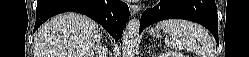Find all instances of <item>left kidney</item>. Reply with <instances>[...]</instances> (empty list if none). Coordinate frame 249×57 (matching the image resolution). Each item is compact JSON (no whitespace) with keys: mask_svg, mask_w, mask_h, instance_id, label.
I'll use <instances>...</instances> for the list:
<instances>
[{"mask_svg":"<svg viewBox=\"0 0 249 57\" xmlns=\"http://www.w3.org/2000/svg\"><path fill=\"white\" fill-rule=\"evenodd\" d=\"M158 57H184V55L177 51H167L165 53H160Z\"/></svg>","mask_w":249,"mask_h":57,"instance_id":"5707ae66","label":"left kidney"}]
</instances>
